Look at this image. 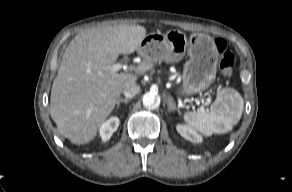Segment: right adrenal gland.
Instances as JSON below:
<instances>
[{
    "label": "right adrenal gland",
    "mask_w": 292,
    "mask_h": 192,
    "mask_svg": "<svg viewBox=\"0 0 292 192\" xmlns=\"http://www.w3.org/2000/svg\"><path fill=\"white\" fill-rule=\"evenodd\" d=\"M129 101H130L129 98H126V99L119 98V99L117 100V103H116V104H117L116 109H118V108L120 107V104H121V103H125V104H127Z\"/></svg>",
    "instance_id": "2a0ac1e0"
}]
</instances>
